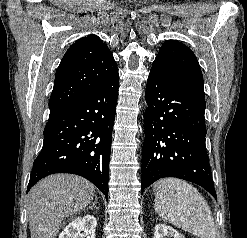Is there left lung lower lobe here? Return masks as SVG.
<instances>
[{
	"label": "left lung lower lobe",
	"instance_id": "1",
	"mask_svg": "<svg viewBox=\"0 0 247 238\" xmlns=\"http://www.w3.org/2000/svg\"><path fill=\"white\" fill-rule=\"evenodd\" d=\"M142 151V191L160 178L200 185L216 198L205 146V99L158 66L149 73Z\"/></svg>",
	"mask_w": 247,
	"mask_h": 238
}]
</instances>
